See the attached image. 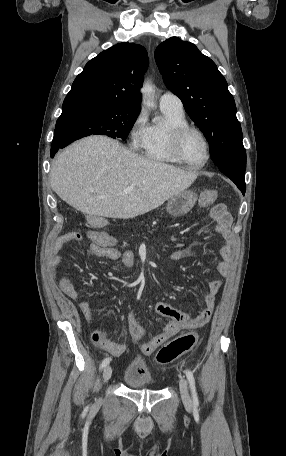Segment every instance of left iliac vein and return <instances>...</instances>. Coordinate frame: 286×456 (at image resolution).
Here are the masks:
<instances>
[{"label":"left iliac vein","instance_id":"4c4485c4","mask_svg":"<svg viewBox=\"0 0 286 456\" xmlns=\"http://www.w3.org/2000/svg\"><path fill=\"white\" fill-rule=\"evenodd\" d=\"M179 387H180V391H181L182 401H183L185 407L188 408V409H191L192 408V400H191L190 395H189L188 383H187V380L185 378H181L180 379Z\"/></svg>","mask_w":286,"mask_h":456}]
</instances>
